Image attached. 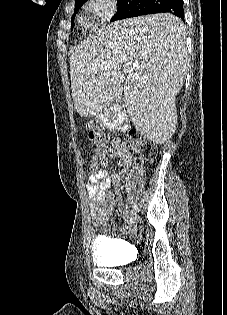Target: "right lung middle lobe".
<instances>
[{
  "instance_id": "right-lung-middle-lobe-1",
  "label": "right lung middle lobe",
  "mask_w": 227,
  "mask_h": 315,
  "mask_svg": "<svg viewBox=\"0 0 227 315\" xmlns=\"http://www.w3.org/2000/svg\"><path fill=\"white\" fill-rule=\"evenodd\" d=\"M87 0H76L75 1V10L74 12L76 13L77 10L83 5V3H85ZM142 0H118V9L117 12L115 14V16L111 19L112 21L117 20L118 19V15L120 13L121 8H123L124 6H127L128 4H130L131 6H136L138 5ZM75 14L73 15L72 21L74 20ZM71 28H73V26H71Z\"/></svg>"
}]
</instances>
